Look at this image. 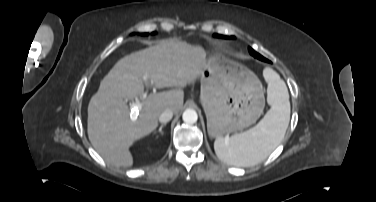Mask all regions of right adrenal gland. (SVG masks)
Listing matches in <instances>:
<instances>
[{"label": "right adrenal gland", "mask_w": 376, "mask_h": 202, "mask_svg": "<svg viewBox=\"0 0 376 202\" xmlns=\"http://www.w3.org/2000/svg\"><path fill=\"white\" fill-rule=\"evenodd\" d=\"M166 125V123H163L161 126H160V128H159V130H158V132L161 134V135H163V131H162V129H163V127ZM153 133H156V131H154Z\"/></svg>", "instance_id": "2a0ac1e0"}]
</instances>
